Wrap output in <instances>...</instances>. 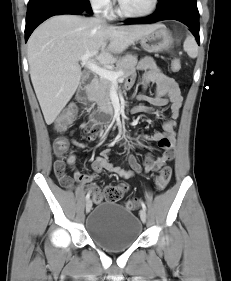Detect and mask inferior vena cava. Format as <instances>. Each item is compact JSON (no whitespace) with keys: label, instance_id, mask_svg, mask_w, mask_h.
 Segmentation results:
<instances>
[{"label":"inferior vena cava","instance_id":"602c4592","mask_svg":"<svg viewBox=\"0 0 231 281\" xmlns=\"http://www.w3.org/2000/svg\"><path fill=\"white\" fill-rule=\"evenodd\" d=\"M101 8V5L98 3L93 4V10L96 14L99 13V9Z\"/></svg>","mask_w":231,"mask_h":281}]
</instances>
